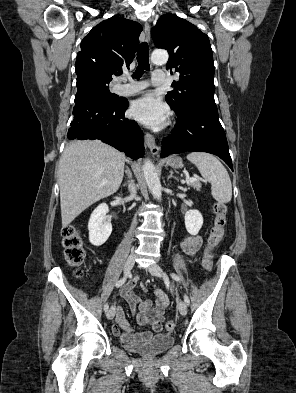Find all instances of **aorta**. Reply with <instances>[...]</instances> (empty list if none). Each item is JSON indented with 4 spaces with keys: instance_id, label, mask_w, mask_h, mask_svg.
Wrapping results in <instances>:
<instances>
[{
    "instance_id": "aorta-1",
    "label": "aorta",
    "mask_w": 296,
    "mask_h": 393,
    "mask_svg": "<svg viewBox=\"0 0 296 393\" xmlns=\"http://www.w3.org/2000/svg\"><path fill=\"white\" fill-rule=\"evenodd\" d=\"M151 61L155 65H162L168 61V53L165 50H154L151 55ZM143 173L148 185V188L152 195L161 200L162 198V187L160 184V179L156 172L155 166L150 160H145L143 165Z\"/></svg>"
}]
</instances>
